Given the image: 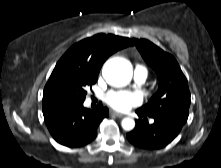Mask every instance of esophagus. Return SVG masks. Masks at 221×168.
I'll use <instances>...</instances> for the list:
<instances>
[{"instance_id": "34e87169", "label": "esophagus", "mask_w": 221, "mask_h": 168, "mask_svg": "<svg viewBox=\"0 0 221 168\" xmlns=\"http://www.w3.org/2000/svg\"><path fill=\"white\" fill-rule=\"evenodd\" d=\"M112 116H116V117H119V118H123L124 117V115L123 114H121V113H118V112H115V111H111V113H110Z\"/></svg>"}]
</instances>
